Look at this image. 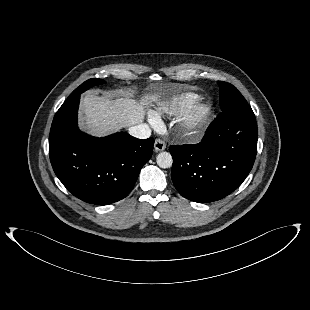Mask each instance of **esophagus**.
Masks as SVG:
<instances>
[{
    "mask_svg": "<svg viewBox=\"0 0 310 310\" xmlns=\"http://www.w3.org/2000/svg\"><path fill=\"white\" fill-rule=\"evenodd\" d=\"M166 149V144L161 139H156L154 143V150L155 152H160Z\"/></svg>",
    "mask_w": 310,
    "mask_h": 310,
    "instance_id": "34e87169",
    "label": "esophagus"
}]
</instances>
